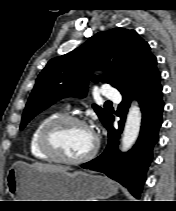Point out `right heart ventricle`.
Here are the masks:
<instances>
[{
  "label": "right heart ventricle",
  "instance_id": "1",
  "mask_svg": "<svg viewBox=\"0 0 176 211\" xmlns=\"http://www.w3.org/2000/svg\"><path fill=\"white\" fill-rule=\"evenodd\" d=\"M60 115L59 112H52L40 118L34 125L29 137V151L30 154L41 161H51L52 158L47 155L40 147V133L43 126L52 118Z\"/></svg>",
  "mask_w": 176,
  "mask_h": 211
}]
</instances>
